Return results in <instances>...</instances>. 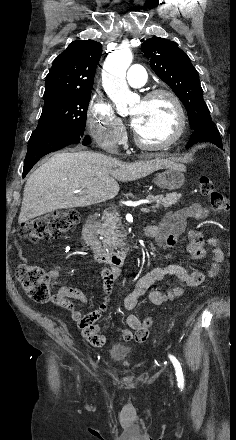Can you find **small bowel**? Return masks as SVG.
I'll list each match as a JSON object with an SVG mask.
<instances>
[{
    "label": "small bowel",
    "mask_w": 236,
    "mask_h": 440,
    "mask_svg": "<svg viewBox=\"0 0 236 440\" xmlns=\"http://www.w3.org/2000/svg\"><path fill=\"white\" fill-rule=\"evenodd\" d=\"M207 214L208 211L205 207L198 203H192L168 213L159 225L151 226L152 230L149 236L161 248H184L194 260H205L207 256L206 242L200 232L188 228L187 220L190 217L202 220L206 218ZM184 233H186V237L182 239L181 235ZM208 247L211 253V261L206 270H199L179 264L152 268L138 279L134 290L125 298V309L127 311L133 310L139 298L144 295H147L148 301L154 305H162L174 301L182 297L187 289L201 285L208 277L216 276L224 260V254L216 237H212L209 240ZM59 274L58 268L50 271V275L55 279L59 277ZM119 274L120 270L118 268L104 269L102 271L101 282L104 299L96 310L85 316L80 308L71 301L73 299L77 300L81 305L87 304L88 298L84 291L75 287L62 286L56 294L58 298L56 304L70 313L72 319L78 322V329L81 330L83 338L94 346L104 344V337L99 333V322L97 320L108 306L114 283ZM168 276L176 277L180 285L168 291L151 289L153 284ZM126 323L129 328L120 332V340L130 341L132 339L147 338V332H149L150 327L147 324H143L138 316L128 314Z\"/></svg>",
    "instance_id": "1"
}]
</instances>
